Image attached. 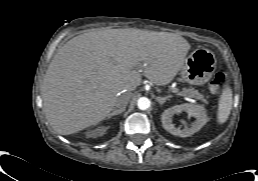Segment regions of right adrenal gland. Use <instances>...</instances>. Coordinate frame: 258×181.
<instances>
[{
    "label": "right adrenal gland",
    "mask_w": 258,
    "mask_h": 181,
    "mask_svg": "<svg viewBox=\"0 0 258 181\" xmlns=\"http://www.w3.org/2000/svg\"><path fill=\"white\" fill-rule=\"evenodd\" d=\"M124 110H118V109H114L108 116L106 119H110L111 117L115 116V115H119L123 112Z\"/></svg>",
    "instance_id": "obj_1"
}]
</instances>
